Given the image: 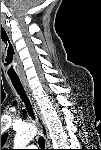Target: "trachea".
I'll return each mask as SVG.
<instances>
[{"instance_id": "3493384b", "label": "trachea", "mask_w": 101, "mask_h": 150, "mask_svg": "<svg viewBox=\"0 0 101 150\" xmlns=\"http://www.w3.org/2000/svg\"><path fill=\"white\" fill-rule=\"evenodd\" d=\"M11 81H12V84L15 87L16 91L18 92V94L25 101L26 108L29 111L30 115L34 118L33 110L31 108V105H30V103L28 101V98L25 94V91H24V89L21 85L20 80L18 78H11ZM38 143H39V146H40L41 150H44L45 140L42 137H40L39 140H38Z\"/></svg>"}]
</instances>
